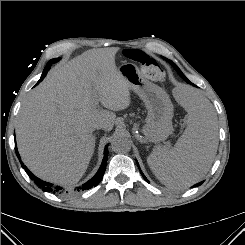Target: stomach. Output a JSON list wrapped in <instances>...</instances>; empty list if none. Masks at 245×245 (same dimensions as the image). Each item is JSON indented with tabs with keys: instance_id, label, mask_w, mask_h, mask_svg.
<instances>
[{
	"instance_id": "1",
	"label": "stomach",
	"mask_w": 245,
	"mask_h": 245,
	"mask_svg": "<svg viewBox=\"0 0 245 245\" xmlns=\"http://www.w3.org/2000/svg\"><path fill=\"white\" fill-rule=\"evenodd\" d=\"M121 76L145 103L148 114L143 126L145 137L154 143L164 141L173 133V104L159 86L145 79L137 65L124 63L118 68Z\"/></svg>"
}]
</instances>
